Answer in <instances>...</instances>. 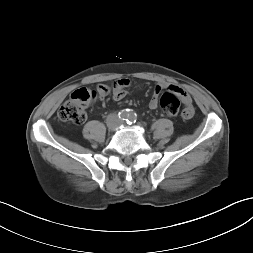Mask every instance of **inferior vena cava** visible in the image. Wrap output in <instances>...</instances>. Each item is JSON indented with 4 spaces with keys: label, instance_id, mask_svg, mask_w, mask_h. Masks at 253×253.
Masks as SVG:
<instances>
[{
    "label": "inferior vena cava",
    "instance_id": "obj_1",
    "mask_svg": "<svg viewBox=\"0 0 253 253\" xmlns=\"http://www.w3.org/2000/svg\"><path fill=\"white\" fill-rule=\"evenodd\" d=\"M113 117H114V115L110 114V115L108 116V122H109Z\"/></svg>",
    "mask_w": 253,
    "mask_h": 253
}]
</instances>
